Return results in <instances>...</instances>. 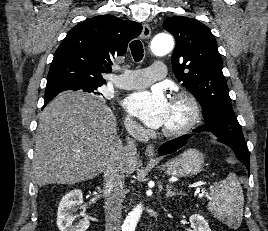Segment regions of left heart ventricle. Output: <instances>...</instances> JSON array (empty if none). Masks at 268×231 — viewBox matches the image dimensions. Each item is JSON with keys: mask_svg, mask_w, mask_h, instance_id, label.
Masks as SVG:
<instances>
[{"mask_svg": "<svg viewBox=\"0 0 268 231\" xmlns=\"http://www.w3.org/2000/svg\"><path fill=\"white\" fill-rule=\"evenodd\" d=\"M188 115L189 110L185 103L180 101L170 102L167 117L162 128L175 129L186 121Z\"/></svg>", "mask_w": 268, "mask_h": 231, "instance_id": "left-heart-ventricle-1", "label": "left heart ventricle"}]
</instances>
